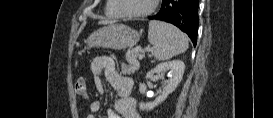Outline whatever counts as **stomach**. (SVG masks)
Returning <instances> with one entry per match:
<instances>
[{"instance_id":"obj_1","label":"stomach","mask_w":273,"mask_h":118,"mask_svg":"<svg viewBox=\"0 0 273 118\" xmlns=\"http://www.w3.org/2000/svg\"><path fill=\"white\" fill-rule=\"evenodd\" d=\"M139 39L138 31L123 24H110L94 31L85 42L91 47L123 49L136 44Z\"/></svg>"}]
</instances>
